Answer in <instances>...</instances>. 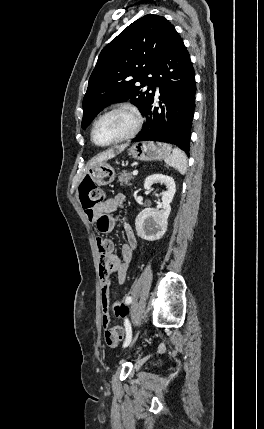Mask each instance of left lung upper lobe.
Here are the masks:
<instances>
[{"label":"left lung upper lobe","mask_w":264,"mask_h":429,"mask_svg":"<svg viewBox=\"0 0 264 429\" xmlns=\"http://www.w3.org/2000/svg\"><path fill=\"white\" fill-rule=\"evenodd\" d=\"M173 28L164 17L148 14L103 48L83 99V129L103 108L117 101L131 99L142 113L153 88L148 75H153Z\"/></svg>","instance_id":"left-lung-upper-lobe-1"}]
</instances>
